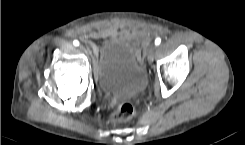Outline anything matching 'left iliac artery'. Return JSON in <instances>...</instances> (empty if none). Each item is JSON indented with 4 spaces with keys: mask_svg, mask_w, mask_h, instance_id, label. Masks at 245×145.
I'll return each mask as SVG.
<instances>
[{
    "mask_svg": "<svg viewBox=\"0 0 245 145\" xmlns=\"http://www.w3.org/2000/svg\"><path fill=\"white\" fill-rule=\"evenodd\" d=\"M161 43V39L158 37L155 39V45H159Z\"/></svg>",
    "mask_w": 245,
    "mask_h": 145,
    "instance_id": "obj_1",
    "label": "left iliac artery"
}]
</instances>
